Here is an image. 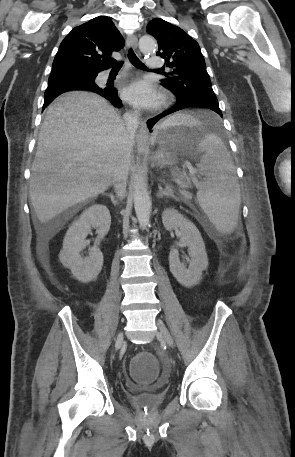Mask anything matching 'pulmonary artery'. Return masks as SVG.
I'll return each mask as SVG.
<instances>
[{
  "label": "pulmonary artery",
  "instance_id": "1",
  "mask_svg": "<svg viewBox=\"0 0 295 457\" xmlns=\"http://www.w3.org/2000/svg\"><path fill=\"white\" fill-rule=\"evenodd\" d=\"M146 64H147L149 69L155 70V69H158V68H160L162 66V61L157 56H150L146 60Z\"/></svg>",
  "mask_w": 295,
  "mask_h": 457
}]
</instances>
